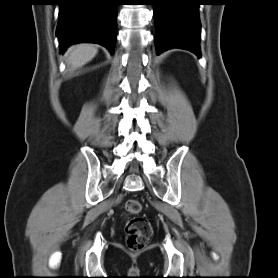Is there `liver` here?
<instances>
[{"label":"liver","mask_w":278,"mask_h":278,"mask_svg":"<svg viewBox=\"0 0 278 278\" xmlns=\"http://www.w3.org/2000/svg\"><path fill=\"white\" fill-rule=\"evenodd\" d=\"M98 49L95 45L82 43L71 47L68 52V64L73 68H78L91 61L97 54Z\"/></svg>","instance_id":"obj_1"}]
</instances>
